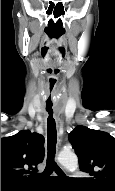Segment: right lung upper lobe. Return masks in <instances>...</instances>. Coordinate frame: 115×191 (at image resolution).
Returning <instances> with one entry per match:
<instances>
[{
  "label": "right lung upper lobe",
  "instance_id": "1",
  "mask_svg": "<svg viewBox=\"0 0 115 191\" xmlns=\"http://www.w3.org/2000/svg\"><path fill=\"white\" fill-rule=\"evenodd\" d=\"M44 137L29 130L1 138V187H25L44 159Z\"/></svg>",
  "mask_w": 115,
  "mask_h": 191
}]
</instances>
